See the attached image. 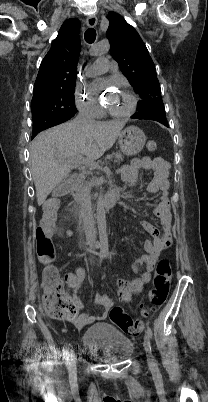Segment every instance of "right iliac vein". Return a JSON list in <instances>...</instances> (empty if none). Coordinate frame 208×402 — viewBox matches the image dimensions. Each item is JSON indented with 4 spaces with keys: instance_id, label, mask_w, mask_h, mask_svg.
I'll return each mask as SVG.
<instances>
[{
    "instance_id": "right-iliac-vein-1",
    "label": "right iliac vein",
    "mask_w": 208,
    "mask_h": 402,
    "mask_svg": "<svg viewBox=\"0 0 208 402\" xmlns=\"http://www.w3.org/2000/svg\"><path fill=\"white\" fill-rule=\"evenodd\" d=\"M68 367L71 372H75L76 370V357L75 353L71 350L68 359Z\"/></svg>"
}]
</instances>
